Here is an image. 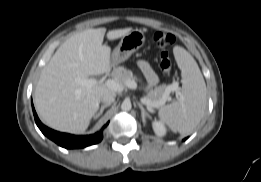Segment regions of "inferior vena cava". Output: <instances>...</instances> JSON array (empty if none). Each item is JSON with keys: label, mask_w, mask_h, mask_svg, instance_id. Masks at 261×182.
I'll list each match as a JSON object with an SVG mask.
<instances>
[{"label": "inferior vena cava", "mask_w": 261, "mask_h": 182, "mask_svg": "<svg viewBox=\"0 0 261 182\" xmlns=\"http://www.w3.org/2000/svg\"><path fill=\"white\" fill-rule=\"evenodd\" d=\"M115 101V96L113 94H105L101 97V102L105 105H111Z\"/></svg>", "instance_id": "inferior-vena-cava-1"}]
</instances>
